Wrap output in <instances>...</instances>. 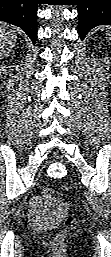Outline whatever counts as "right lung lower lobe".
<instances>
[{"label":"right lung lower lobe","mask_w":111,"mask_h":257,"mask_svg":"<svg viewBox=\"0 0 111 257\" xmlns=\"http://www.w3.org/2000/svg\"><path fill=\"white\" fill-rule=\"evenodd\" d=\"M37 0H0V21L20 27L35 44Z\"/></svg>","instance_id":"obj_1"}]
</instances>
